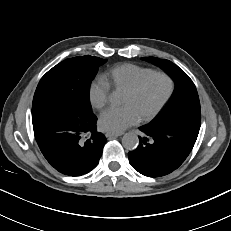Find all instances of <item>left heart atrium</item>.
<instances>
[{
	"instance_id": "obj_1",
	"label": "left heart atrium",
	"mask_w": 231,
	"mask_h": 231,
	"mask_svg": "<svg viewBox=\"0 0 231 231\" xmlns=\"http://www.w3.org/2000/svg\"><path fill=\"white\" fill-rule=\"evenodd\" d=\"M140 116L135 109L126 105L120 108H110L106 110L99 119L102 130L112 133H121L128 127L138 123Z\"/></svg>"
}]
</instances>
